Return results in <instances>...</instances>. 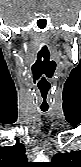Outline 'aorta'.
<instances>
[{"mask_svg": "<svg viewBox=\"0 0 81 167\" xmlns=\"http://www.w3.org/2000/svg\"><path fill=\"white\" fill-rule=\"evenodd\" d=\"M36 160H39V161H47L48 159L44 156H38Z\"/></svg>", "mask_w": 81, "mask_h": 167, "instance_id": "1", "label": "aorta"}]
</instances>
